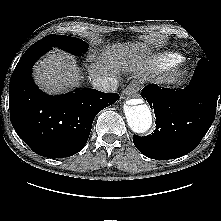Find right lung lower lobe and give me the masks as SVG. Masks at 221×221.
I'll list each match as a JSON object with an SVG mask.
<instances>
[{"mask_svg":"<svg viewBox=\"0 0 221 221\" xmlns=\"http://www.w3.org/2000/svg\"><path fill=\"white\" fill-rule=\"evenodd\" d=\"M50 49V44L38 41L18 62L9 87L10 119L17 134L35 153L63 158L85 146L95 116L119 95L88 88L58 96L42 92L34 84L31 70Z\"/></svg>","mask_w":221,"mask_h":221,"instance_id":"obj_1","label":"right lung lower lobe"}]
</instances>
